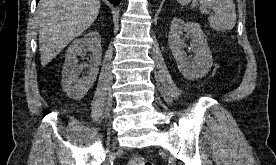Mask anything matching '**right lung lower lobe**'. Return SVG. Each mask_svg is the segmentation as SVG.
<instances>
[{
  "label": "right lung lower lobe",
  "instance_id": "right-lung-lower-lobe-1",
  "mask_svg": "<svg viewBox=\"0 0 276 165\" xmlns=\"http://www.w3.org/2000/svg\"><path fill=\"white\" fill-rule=\"evenodd\" d=\"M39 0H36V2H38ZM110 1L111 3H113L114 5H119L121 0H108Z\"/></svg>",
  "mask_w": 276,
  "mask_h": 165
}]
</instances>
